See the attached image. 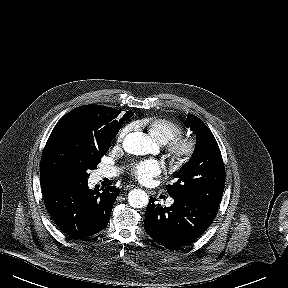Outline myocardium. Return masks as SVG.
Returning <instances> with one entry per match:
<instances>
[{
	"mask_svg": "<svg viewBox=\"0 0 288 288\" xmlns=\"http://www.w3.org/2000/svg\"><path fill=\"white\" fill-rule=\"evenodd\" d=\"M163 146L171 164L178 167L191 161L197 150V141L191 135L180 134Z\"/></svg>",
	"mask_w": 288,
	"mask_h": 288,
	"instance_id": "obj_1",
	"label": "myocardium"
}]
</instances>
